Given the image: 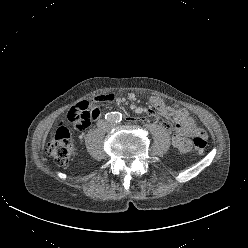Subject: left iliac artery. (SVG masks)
Segmentation results:
<instances>
[{
  "mask_svg": "<svg viewBox=\"0 0 248 248\" xmlns=\"http://www.w3.org/2000/svg\"><path fill=\"white\" fill-rule=\"evenodd\" d=\"M122 120V114L119 112H115V121L120 122Z\"/></svg>",
  "mask_w": 248,
  "mask_h": 248,
  "instance_id": "1",
  "label": "left iliac artery"
}]
</instances>
